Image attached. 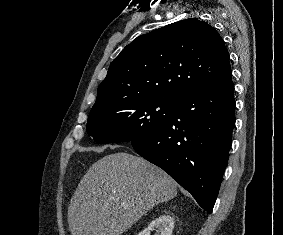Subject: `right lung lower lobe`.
I'll return each instance as SVG.
<instances>
[{
    "label": "right lung lower lobe",
    "instance_id": "right-lung-lower-lobe-1",
    "mask_svg": "<svg viewBox=\"0 0 283 235\" xmlns=\"http://www.w3.org/2000/svg\"><path fill=\"white\" fill-rule=\"evenodd\" d=\"M235 124L232 77L175 99L169 120L144 138L135 151L189 191L208 213L221 185Z\"/></svg>",
    "mask_w": 283,
    "mask_h": 235
}]
</instances>
